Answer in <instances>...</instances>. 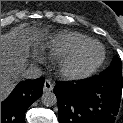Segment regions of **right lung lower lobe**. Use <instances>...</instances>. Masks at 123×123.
<instances>
[{
  "label": "right lung lower lobe",
  "mask_w": 123,
  "mask_h": 123,
  "mask_svg": "<svg viewBox=\"0 0 123 123\" xmlns=\"http://www.w3.org/2000/svg\"><path fill=\"white\" fill-rule=\"evenodd\" d=\"M45 79L20 82L1 103V123H25V112L43 92Z\"/></svg>",
  "instance_id": "right-lung-lower-lobe-1"
}]
</instances>
